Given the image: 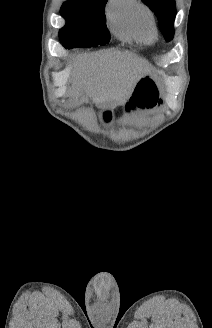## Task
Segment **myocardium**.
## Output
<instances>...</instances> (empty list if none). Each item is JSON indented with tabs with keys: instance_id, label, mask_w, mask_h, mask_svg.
<instances>
[{
	"instance_id": "f54148a6",
	"label": "myocardium",
	"mask_w": 212,
	"mask_h": 328,
	"mask_svg": "<svg viewBox=\"0 0 212 328\" xmlns=\"http://www.w3.org/2000/svg\"><path fill=\"white\" fill-rule=\"evenodd\" d=\"M140 17L147 27L155 31L154 15L149 8L142 6L140 9Z\"/></svg>"
}]
</instances>
